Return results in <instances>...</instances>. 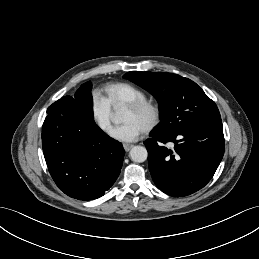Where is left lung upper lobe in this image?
<instances>
[{
	"mask_svg": "<svg viewBox=\"0 0 259 259\" xmlns=\"http://www.w3.org/2000/svg\"><path fill=\"white\" fill-rule=\"evenodd\" d=\"M151 92L159 103L157 133L172 135L197 126L220 123L219 110L192 80L164 72L130 71L123 76Z\"/></svg>",
	"mask_w": 259,
	"mask_h": 259,
	"instance_id": "1",
	"label": "left lung upper lobe"
}]
</instances>
